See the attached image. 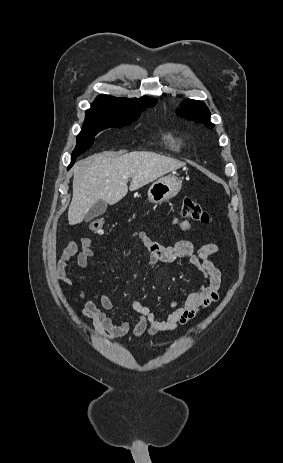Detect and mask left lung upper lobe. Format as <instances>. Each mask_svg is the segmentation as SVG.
Wrapping results in <instances>:
<instances>
[{
  "instance_id": "left-lung-upper-lobe-1",
  "label": "left lung upper lobe",
  "mask_w": 283,
  "mask_h": 463,
  "mask_svg": "<svg viewBox=\"0 0 283 463\" xmlns=\"http://www.w3.org/2000/svg\"><path fill=\"white\" fill-rule=\"evenodd\" d=\"M177 114L188 120H194L197 123H202L208 128L214 125L210 122V111L206 105L201 101L187 99L182 109L177 111Z\"/></svg>"
}]
</instances>
